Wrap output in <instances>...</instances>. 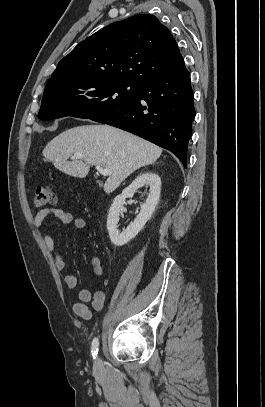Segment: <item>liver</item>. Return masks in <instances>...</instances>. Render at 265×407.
<instances>
[{
	"label": "liver",
	"mask_w": 265,
	"mask_h": 407,
	"mask_svg": "<svg viewBox=\"0 0 265 407\" xmlns=\"http://www.w3.org/2000/svg\"><path fill=\"white\" fill-rule=\"evenodd\" d=\"M42 153L58 170L73 177L85 178L94 165L109 169L104 191L112 193L134 171L154 163L162 149L109 125H82L56 136ZM75 154L82 158L68 161Z\"/></svg>",
	"instance_id": "1"
}]
</instances>
